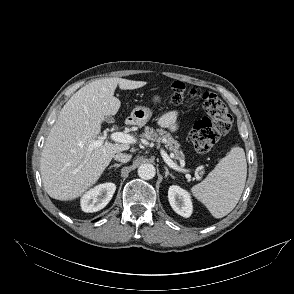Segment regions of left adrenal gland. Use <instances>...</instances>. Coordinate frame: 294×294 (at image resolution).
I'll use <instances>...</instances> for the list:
<instances>
[{
  "label": "left adrenal gland",
  "instance_id": "obj_1",
  "mask_svg": "<svg viewBox=\"0 0 294 294\" xmlns=\"http://www.w3.org/2000/svg\"><path fill=\"white\" fill-rule=\"evenodd\" d=\"M165 178H167L168 176H171L172 178H174V176L168 171V168L165 166Z\"/></svg>",
  "mask_w": 294,
  "mask_h": 294
}]
</instances>
